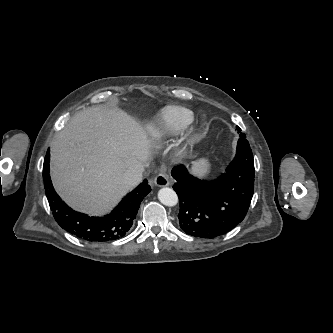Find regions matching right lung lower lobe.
<instances>
[{"label":"right lung lower lobe","instance_id":"98d812e1","mask_svg":"<svg viewBox=\"0 0 333 333\" xmlns=\"http://www.w3.org/2000/svg\"><path fill=\"white\" fill-rule=\"evenodd\" d=\"M50 154L47 152L43 165L45 193L57 223L72 235L91 242L113 241L130 231L140 203L151 191L147 180L127 194L118 206L104 217H91L76 212L65 204L55 192L49 175Z\"/></svg>","mask_w":333,"mask_h":333}]
</instances>
